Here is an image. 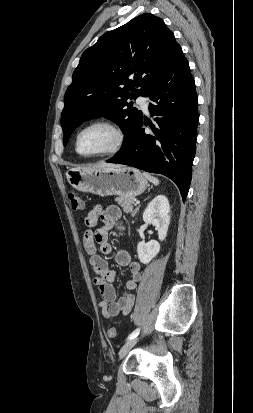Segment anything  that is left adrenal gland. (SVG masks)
Instances as JSON below:
<instances>
[{
  "mask_svg": "<svg viewBox=\"0 0 253 413\" xmlns=\"http://www.w3.org/2000/svg\"><path fill=\"white\" fill-rule=\"evenodd\" d=\"M139 207H140V205L136 208V210H135V213H134V214H136V212L139 210Z\"/></svg>",
  "mask_w": 253,
  "mask_h": 413,
  "instance_id": "1",
  "label": "left adrenal gland"
}]
</instances>
